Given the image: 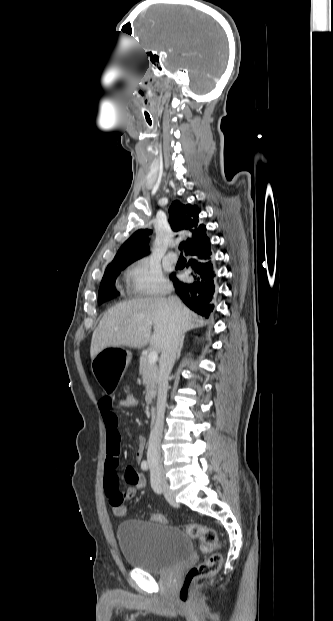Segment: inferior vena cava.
<instances>
[{"label":"inferior vena cava","mask_w":333,"mask_h":621,"mask_svg":"<svg viewBox=\"0 0 333 621\" xmlns=\"http://www.w3.org/2000/svg\"><path fill=\"white\" fill-rule=\"evenodd\" d=\"M169 304L173 311V314L171 316V324L166 335L164 347L159 361L157 417L154 427L152 428L150 433L147 451L148 463H158L159 465H161L162 462L160 444L164 426L165 408L167 406L168 378L174 366L182 337V329L180 328L176 318L177 312L180 307V301L177 298L171 297L169 298Z\"/></svg>","instance_id":"inferior-vena-cava-1"}]
</instances>
